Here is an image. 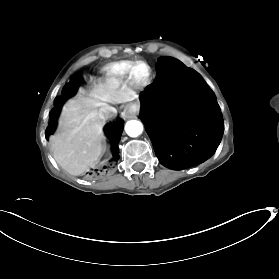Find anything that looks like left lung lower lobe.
Wrapping results in <instances>:
<instances>
[{"label":"left lung lower lobe","mask_w":279,"mask_h":279,"mask_svg":"<svg viewBox=\"0 0 279 279\" xmlns=\"http://www.w3.org/2000/svg\"><path fill=\"white\" fill-rule=\"evenodd\" d=\"M154 84L140 94L142 119L160 163L172 170L196 166L216 151L223 119L203 78L177 59L156 64Z\"/></svg>","instance_id":"left-lung-lower-lobe-1"}]
</instances>
